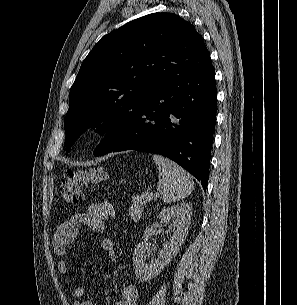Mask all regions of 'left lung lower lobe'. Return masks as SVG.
<instances>
[{
    "instance_id": "left-lung-lower-lobe-1",
    "label": "left lung lower lobe",
    "mask_w": 297,
    "mask_h": 305,
    "mask_svg": "<svg viewBox=\"0 0 297 305\" xmlns=\"http://www.w3.org/2000/svg\"><path fill=\"white\" fill-rule=\"evenodd\" d=\"M214 67L163 84L141 107L123 137L110 139L101 154L137 150L175 161L206 191L216 121Z\"/></svg>"
}]
</instances>
